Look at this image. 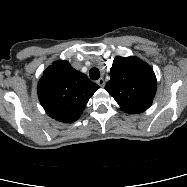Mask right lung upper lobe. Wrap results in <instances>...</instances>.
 <instances>
[{"mask_svg":"<svg viewBox=\"0 0 187 187\" xmlns=\"http://www.w3.org/2000/svg\"><path fill=\"white\" fill-rule=\"evenodd\" d=\"M98 88L67 61L59 60L43 72L37 92L41 105L50 117L72 123L79 119L89 98Z\"/></svg>","mask_w":187,"mask_h":187,"instance_id":"right-lung-upper-lobe-1","label":"right lung upper lobe"}]
</instances>
